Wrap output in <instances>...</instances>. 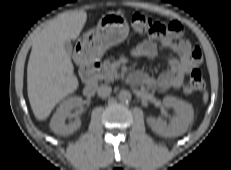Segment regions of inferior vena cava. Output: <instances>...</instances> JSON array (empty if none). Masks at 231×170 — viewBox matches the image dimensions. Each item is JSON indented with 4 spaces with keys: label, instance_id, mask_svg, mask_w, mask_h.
<instances>
[{
    "label": "inferior vena cava",
    "instance_id": "obj_1",
    "mask_svg": "<svg viewBox=\"0 0 231 170\" xmlns=\"http://www.w3.org/2000/svg\"><path fill=\"white\" fill-rule=\"evenodd\" d=\"M111 91H112V88L108 85H101L98 90H97V93L100 97L102 98H106L108 96H110L111 94Z\"/></svg>",
    "mask_w": 231,
    "mask_h": 170
}]
</instances>
